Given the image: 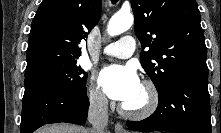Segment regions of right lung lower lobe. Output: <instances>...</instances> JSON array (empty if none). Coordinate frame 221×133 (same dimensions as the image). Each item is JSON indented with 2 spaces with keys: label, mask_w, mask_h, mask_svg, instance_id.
I'll use <instances>...</instances> for the list:
<instances>
[{
  "label": "right lung lower lobe",
  "mask_w": 221,
  "mask_h": 133,
  "mask_svg": "<svg viewBox=\"0 0 221 133\" xmlns=\"http://www.w3.org/2000/svg\"><path fill=\"white\" fill-rule=\"evenodd\" d=\"M88 108L86 88L74 91L49 79L25 77L21 133H32L49 123L84 124Z\"/></svg>",
  "instance_id": "1"
}]
</instances>
